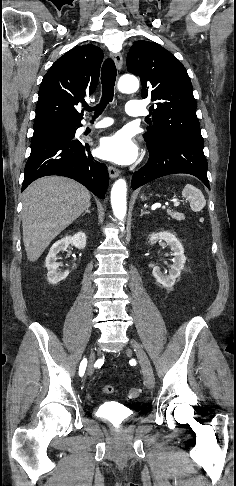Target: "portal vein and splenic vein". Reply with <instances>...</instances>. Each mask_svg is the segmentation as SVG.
<instances>
[{
	"label": "portal vein and splenic vein",
	"mask_w": 236,
	"mask_h": 486,
	"mask_svg": "<svg viewBox=\"0 0 236 486\" xmlns=\"http://www.w3.org/2000/svg\"><path fill=\"white\" fill-rule=\"evenodd\" d=\"M179 205H180V202H179V201H175V202H174V207H175V208H176V207H178Z\"/></svg>",
	"instance_id": "obj_1"
}]
</instances>
